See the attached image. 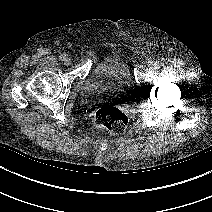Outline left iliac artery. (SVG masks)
I'll return each mask as SVG.
<instances>
[{
  "label": "left iliac artery",
  "mask_w": 212,
  "mask_h": 212,
  "mask_svg": "<svg viewBox=\"0 0 212 212\" xmlns=\"http://www.w3.org/2000/svg\"><path fill=\"white\" fill-rule=\"evenodd\" d=\"M161 64H162V63L158 61V62L155 63V67H156V68H160V67H161Z\"/></svg>",
  "instance_id": "left-iliac-artery-1"
}]
</instances>
